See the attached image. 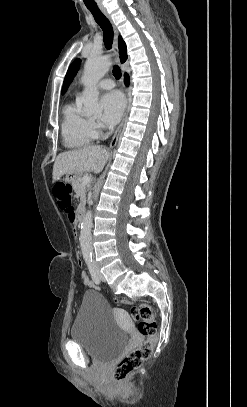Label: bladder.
I'll return each mask as SVG.
<instances>
[{"label": "bladder", "instance_id": "bladder-1", "mask_svg": "<svg viewBox=\"0 0 247 407\" xmlns=\"http://www.w3.org/2000/svg\"><path fill=\"white\" fill-rule=\"evenodd\" d=\"M71 338L98 361L116 357L126 346L129 333L113 316V308L97 291H85Z\"/></svg>", "mask_w": 247, "mask_h": 407}]
</instances>
